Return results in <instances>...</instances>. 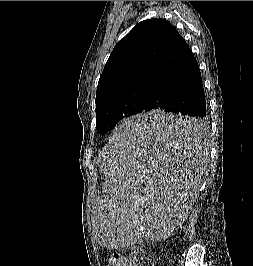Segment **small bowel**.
I'll return each mask as SVG.
<instances>
[{
	"mask_svg": "<svg viewBox=\"0 0 253 266\" xmlns=\"http://www.w3.org/2000/svg\"><path fill=\"white\" fill-rule=\"evenodd\" d=\"M137 250L135 249L129 259L125 260V266H142L140 260L136 256Z\"/></svg>",
	"mask_w": 253,
	"mask_h": 266,
	"instance_id": "1",
	"label": "small bowel"
}]
</instances>
